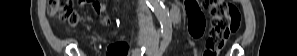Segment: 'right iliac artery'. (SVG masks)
<instances>
[{
	"mask_svg": "<svg viewBox=\"0 0 297 56\" xmlns=\"http://www.w3.org/2000/svg\"><path fill=\"white\" fill-rule=\"evenodd\" d=\"M145 50H146V47H144V46L141 48L135 49L133 51L132 56H142L144 54Z\"/></svg>",
	"mask_w": 297,
	"mask_h": 56,
	"instance_id": "1",
	"label": "right iliac artery"
}]
</instances>
